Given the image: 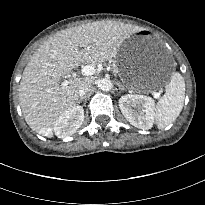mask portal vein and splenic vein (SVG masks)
Listing matches in <instances>:
<instances>
[{
    "instance_id": "1",
    "label": "portal vein and splenic vein",
    "mask_w": 205,
    "mask_h": 205,
    "mask_svg": "<svg viewBox=\"0 0 205 205\" xmlns=\"http://www.w3.org/2000/svg\"><path fill=\"white\" fill-rule=\"evenodd\" d=\"M95 73H96V69L92 65H86L81 70V74L86 75V76H90V75H93ZM153 95L155 98H158L160 96V93L156 92Z\"/></svg>"
}]
</instances>
